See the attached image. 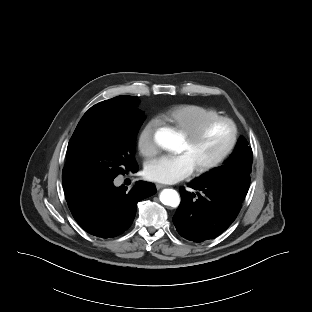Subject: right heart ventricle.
Wrapping results in <instances>:
<instances>
[{"instance_id":"obj_1","label":"right heart ventricle","mask_w":312,"mask_h":312,"mask_svg":"<svg viewBox=\"0 0 312 312\" xmlns=\"http://www.w3.org/2000/svg\"><path fill=\"white\" fill-rule=\"evenodd\" d=\"M217 116L219 112L215 109L195 104H183L166 110L160 115V119L183 134H187Z\"/></svg>"}]
</instances>
